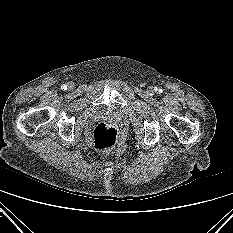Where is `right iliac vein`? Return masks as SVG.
<instances>
[{
	"mask_svg": "<svg viewBox=\"0 0 233 233\" xmlns=\"http://www.w3.org/2000/svg\"><path fill=\"white\" fill-rule=\"evenodd\" d=\"M71 87H72V83L69 82V83H68V88H71Z\"/></svg>",
	"mask_w": 233,
	"mask_h": 233,
	"instance_id": "1",
	"label": "right iliac vein"
}]
</instances>
